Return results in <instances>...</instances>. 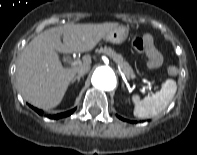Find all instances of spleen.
I'll return each mask as SVG.
<instances>
[{"instance_id":"3e777b00","label":"spleen","mask_w":197,"mask_h":155,"mask_svg":"<svg viewBox=\"0 0 197 155\" xmlns=\"http://www.w3.org/2000/svg\"><path fill=\"white\" fill-rule=\"evenodd\" d=\"M177 90V84L173 79H167L160 91L140 99L139 95L132 96L134 104V116L138 118H150L162 112L171 102Z\"/></svg>"}]
</instances>
